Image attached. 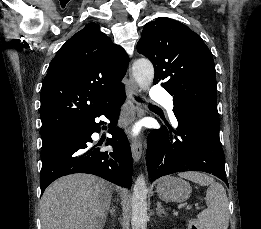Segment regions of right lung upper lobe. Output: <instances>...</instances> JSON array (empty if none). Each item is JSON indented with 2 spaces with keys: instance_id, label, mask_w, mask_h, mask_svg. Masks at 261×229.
<instances>
[{
  "instance_id": "obj_1",
  "label": "right lung upper lobe",
  "mask_w": 261,
  "mask_h": 229,
  "mask_svg": "<svg viewBox=\"0 0 261 229\" xmlns=\"http://www.w3.org/2000/svg\"><path fill=\"white\" fill-rule=\"evenodd\" d=\"M129 57L91 23L72 36L51 61L41 88V131L60 137L89 123L124 92Z\"/></svg>"
}]
</instances>
